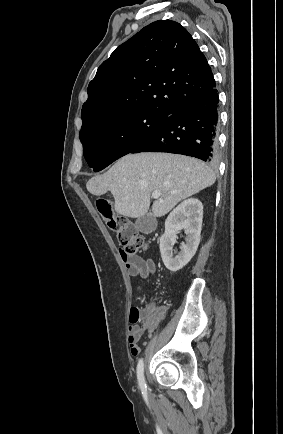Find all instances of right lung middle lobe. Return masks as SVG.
Wrapping results in <instances>:
<instances>
[{"mask_svg":"<svg viewBox=\"0 0 283 434\" xmlns=\"http://www.w3.org/2000/svg\"><path fill=\"white\" fill-rule=\"evenodd\" d=\"M170 113L137 110L116 115L91 128L80 131L83 154L94 171H100L118 158L130 153Z\"/></svg>","mask_w":283,"mask_h":434,"instance_id":"dd1d6c3e","label":"right lung middle lobe"}]
</instances>
